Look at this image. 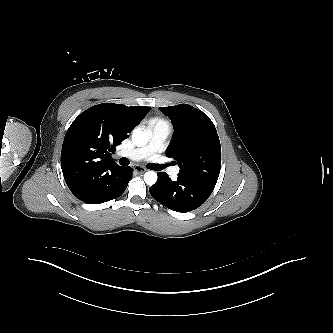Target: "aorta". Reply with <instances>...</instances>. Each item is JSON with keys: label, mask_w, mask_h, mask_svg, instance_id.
<instances>
[{"label": "aorta", "mask_w": 333, "mask_h": 333, "mask_svg": "<svg viewBox=\"0 0 333 333\" xmlns=\"http://www.w3.org/2000/svg\"><path fill=\"white\" fill-rule=\"evenodd\" d=\"M132 142L138 146L142 147L148 142V134L140 129H135L132 134ZM144 181L147 185H153L157 181V174L154 171H148L144 174Z\"/></svg>", "instance_id": "762f6f07"}]
</instances>
